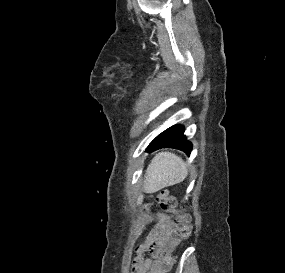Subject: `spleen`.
<instances>
[{"instance_id": "3e777b00", "label": "spleen", "mask_w": 285, "mask_h": 273, "mask_svg": "<svg viewBox=\"0 0 285 273\" xmlns=\"http://www.w3.org/2000/svg\"><path fill=\"white\" fill-rule=\"evenodd\" d=\"M187 174V165L182 158L170 152H161L148 165L144 189L147 192H156L182 182Z\"/></svg>"}]
</instances>
